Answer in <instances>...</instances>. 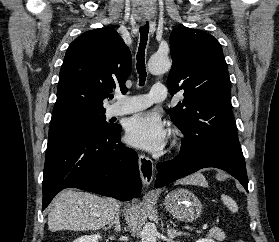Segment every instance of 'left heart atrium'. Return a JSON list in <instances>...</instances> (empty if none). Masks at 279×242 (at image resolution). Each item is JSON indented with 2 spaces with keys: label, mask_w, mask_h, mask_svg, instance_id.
<instances>
[{
  "label": "left heart atrium",
  "mask_w": 279,
  "mask_h": 242,
  "mask_svg": "<svg viewBox=\"0 0 279 242\" xmlns=\"http://www.w3.org/2000/svg\"><path fill=\"white\" fill-rule=\"evenodd\" d=\"M167 134L161 119L151 113L131 117L125 127L126 141L130 145L151 152H159L164 148Z\"/></svg>",
  "instance_id": "1"
}]
</instances>
